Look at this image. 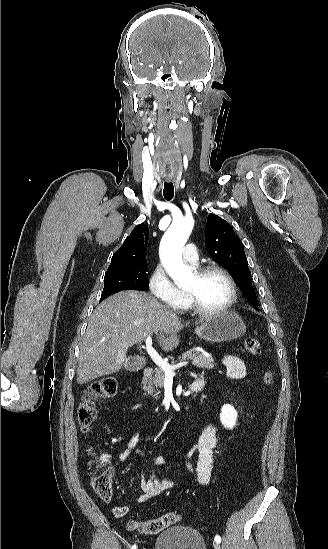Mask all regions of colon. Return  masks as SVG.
Masks as SVG:
<instances>
[{"label":"colon","mask_w":328,"mask_h":549,"mask_svg":"<svg viewBox=\"0 0 328 549\" xmlns=\"http://www.w3.org/2000/svg\"><path fill=\"white\" fill-rule=\"evenodd\" d=\"M245 349L251 355H260L262 347L260 342L253 337L244 340ZM273 382V374L266 371L263 374V383L270 385ZM118 389V382L115 378L105 377L94 382L87 390L86 395L78 406L77 418L82 431L88 432L96 420V400L113 397ZM113 470L106 465H97L92 473V487L95 494L103 501L112 496ZM181 515L177 512H169L158 518L148 521H133L129 529L143 535L157 534L165 528L178 523Z\"/></svg>","instance_id":"1"}]
</instances>
